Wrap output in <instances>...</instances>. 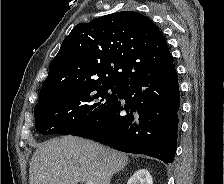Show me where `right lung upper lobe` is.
I'll list each match as a JSON object with an SVG mask.
<instances>
[{
  "label": "right lung upper lobe",
  "mask_w": 224,
  "mask_h": 184,
  "mask_svg": "<svg viewBox=\"0 0 224 184\" xmlns=\"http://www.w3.org/2000/svg\"><path fill=\"white\" fill-rule=\"evenodd\" d=\"M174 68L166 40L148 17L122 11L76 25L63 40L39 102L90 82H125Z\"/></svg>",
  "instance_id": "right-lung-upper-lobe-1"
}]
</instances>
